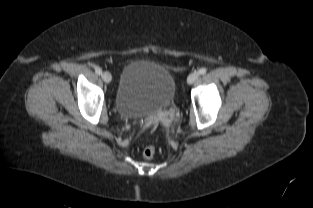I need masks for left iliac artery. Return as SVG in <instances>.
<instances>
[{"label":"left iliac artery","instance_id":"left-iliac-artery-1","mask_svg":"<svg viewBox=\"0 0 313 208\" xmlns=\"http://www.w3.org/2000/svg\"><path fill=\"white\" fill-rule=\"evenodd\" d=\"M198 72L200 75H204V74H206L207 70L205 68H201V69H199Z\"/></svg>","mask_w":313,"mask_h":208}]
</instances>
